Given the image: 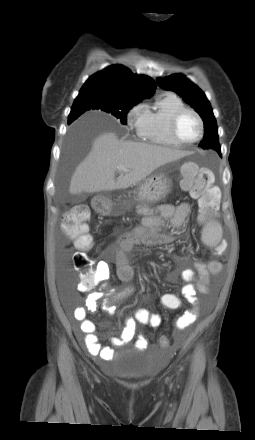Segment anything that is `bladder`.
I'll return each instance as SVG.
<instances>
[{
  "label": "bladder",
  "instance_id": "obj_1",
  "mask_svg": "<svg viewBox=\"0 0 255 440\" xmlns=\"http://www.w3.org/2000/svg\"><path fill=\"white\" fill-rule=\"evenodd\" d=\"M117 364L114 375L125 381L138 382L148 380L153 377L155 372L153 358L144 355L141 350L117 361Z\"/></svg>",
  "mask_w": 255,
  "mask_h": 440
}]
</instances>
